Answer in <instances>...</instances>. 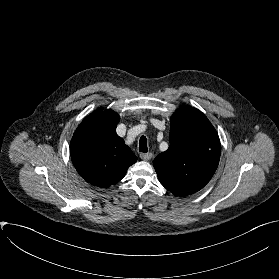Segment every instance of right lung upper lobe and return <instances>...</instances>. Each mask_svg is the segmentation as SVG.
Listing matches in <instances>:
<instances>
[{
  "label": "right lung upper lobe",
  "instance_id": "right-lung-upper-lobe-1",
  "mask_svg": "<svg viewBox=\"0 0 279 279\" xmlns=\"http://www.w3.org/2000/svg\"><path fill=\"white\" fill-rule=\"evenodd\" d=\"M119 120L113 110H96L82 121L71 140L74 167L94 186L108 187L117 183L137 160L116 133Z\"/></svg>",
  "mask_w": 279,
  "mask_h": 279
}]
</instances>
